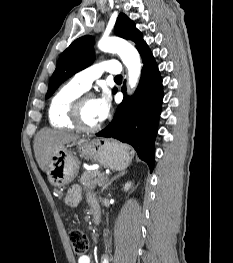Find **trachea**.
Listing matches in <instances>:
<instances>
[{
	"mask_svg": "<svg viewBox=\"0 0 233 263\" xmlns=\"http://www.w3.org/2000/svg\"><path fill=\"white\" fill-rule=\"evenodd\" d=\"M115 81H122V76L121 75H118L115 77L114 79Z\"/></svg>",
	"mask_w": 233,
	"mask_h": 263,
	"instance_id": "3493384b",
	"label": "trachea"
}]
</instances>
